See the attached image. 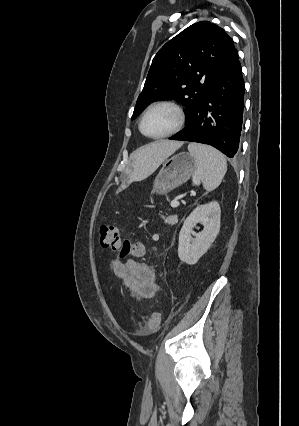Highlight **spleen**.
Instances as JSON below:
<instances>
[{
	"label": "spleen",
	"mask_w": 299,
	"mask_h": 426,
	"mask_svg": "<svg viewBox=\"0 0 299 426\" xmlns=\"http://www.w3.org/2000/svg\"><path fill=\"white\" fill-rule=\"evenodd\" d=\"M188 151L196 159L197 170L193 175V184L203 186L207 191L216 189L227 172V162L224 155L208 145L191 143Z\"/></svg>",
	"instance_id": "1"
}]
</instances>
